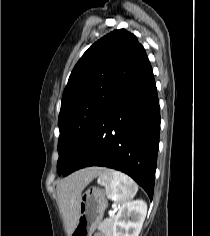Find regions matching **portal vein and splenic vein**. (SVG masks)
<instances>
[{
	"label": "portal vein and splenic vein",
	"mask_w": 210,
	"mask_h": 236,
	"mask_svg": "<svg viewBox=\"0 0 210 236\" xmlns=\"http://www.w3.org/2000/svg\"><path fill=\"white\" fill-rule=\"evenodd\" d=\"M114 213H115V209H114V210H111V211L109 212V215H110V216H113Z\"/></svg>",
	"instance_id": "18ae733b"
}]
</instances>
